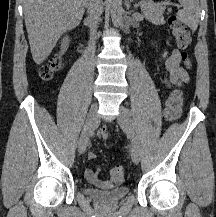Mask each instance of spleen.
Segmentation results:
<instances>
[{
    "label": "spleen",
    "instance_id": "obj_1",
    "mask_svg": "<svg viewBox=\"0 0 216 217\" xmlns=\"http://www.w3.org/2000/svg\"><path fill=\"white\" fill-rule=\"evenodd\" d=\"M183 9L177 12V17L192 31H196L200 19L199 0H178Z\"/></svg>",
    "mask_w": 216,
    "mask_h": 217
}]
</instances>
